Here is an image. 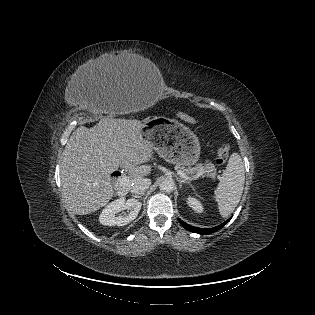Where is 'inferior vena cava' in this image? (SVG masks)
I'll use <instances>...</instances> for the list:
<instances>
[{"label": "inferior vena cava", "mask_w": 315, "mask_h": 315, "mask_svg": "<svg viewBox=\"0 0 315 315\" xmlns=\"http://www.w3.org/2000/svg\"><path fill=\"white\" fill-rule=\"evenodd\" d=\"M150 185H151L150 179L139 178L132 183L130 191L135 195H141L149 188Z\"/></svg>", "instance_id": "1"}]
</instances>
